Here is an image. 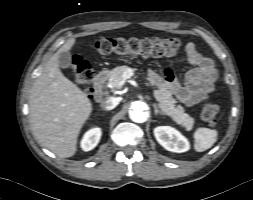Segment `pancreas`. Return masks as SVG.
I'll use <instances>...</instances> for the list:
<instances>
[{"instance_id": "obj_1", "label": "pancreas", "mask_w": 253, "mask_h": 200, "mask_svg": "<svg viewBox=\"0 0 253 200\" xmlns=\"http://www.w3.org/2000/svg\"><path fill=\"white\" fill-rule=\"evenodd\" d=\"M132 70L128 66H119L112 69L109 72L108 83L118 88V83L122 80V76L125 72ZM149 82L152 86H156L154 90V97L158 102V106L162 113L170 116L177 124L184 126L187 129H191L194 119L184 112V108L180 105L176 106V100L173 98L171 91L168 88L167 83L157 73L149 71Z\"/></svg>"}]
</instances>
